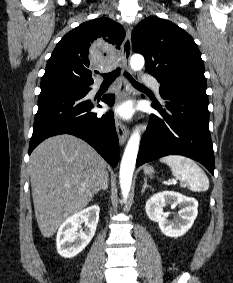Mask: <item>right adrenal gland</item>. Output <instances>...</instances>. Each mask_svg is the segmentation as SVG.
<instances>
[{
	"mask_svg": "<svg viewBox=\"0 0 233 283\" xmlns=\"http://www.w3.org/2000/svg\"><path fill=\"white\" fill-rule=\"evenodd\" d=\"M108 180H109L108 174H106L103 182L101 183L95 194H97L100 190L106 191L108 189V183H109Z\"/></svg>",
	"mask_w": 233,
	"mask_h": 283,
	"instance_id": "right-adrenal-gland-1",
	"label": "right adrenal gland"
}]
</instances>
